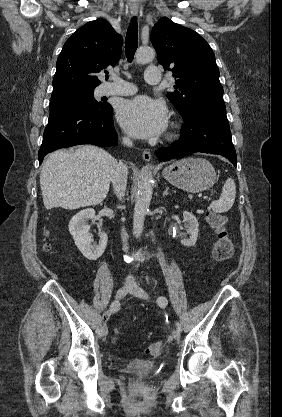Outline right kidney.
Segmentation results:
<instances>
[{"mask_svg":"<svg viewBox=\"0 0 282 417\" xmlns=\"http://www.w3.org/2000/svg\"><path fill=\"white\" fill-rule=\"evenodd\" d=\"M94 217V209H83V211H79L72 217L68 225L69 233L72 235L77 249L89 261H97L103 255L108 241L106 233H102L99 245H92V237H90L89 233L90 225H87V221L94 219Z\"/></svg>","mask_w":282,"mask_h":417,"instance_id":"obj_1","label":"right kidney"}]
</instances>
